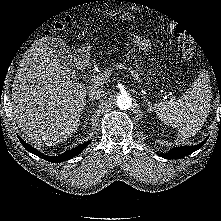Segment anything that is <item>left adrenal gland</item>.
<instances>
[{
    "mask_svg": "<svg viewBox=\"0 0 221 221\" xmlns=\"http://www.w3.org/2000/svg\"><path fill=\"white\" fill-rule=\"evenodd\" d=\"M143 98L147 101V103H148V107H149V111H152L153 110V108H152V104H151V102H150V100L146 97V96H143Z\"/></svg>",
    "mask_w": 221,
    "mask_h": 221,
    "instance_id": "left-adrenal-gland-1",
    "label": "left adrenal gland"
}]
</instances>
